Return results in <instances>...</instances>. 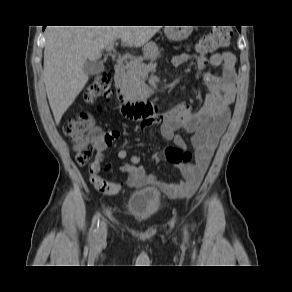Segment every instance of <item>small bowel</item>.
<instances>
[{
    "label": "small bowel",
    "instance_id": "1",
    "mask_svg": "<svg viewBox=\"0 0 292 292\" xmlns=\"http://www.w3.org/2000/svg\"><path fill=\"white\" fill-rule=\"evenodd\" d=\"M188 62H193L197 70H204L208 65L222 67V74L206 73L204 82L209 89L204 103L198 109H194L187 103L179 104L166 112L158 114L150 121L141 122L139 130L153 124L160 125V133L163 139L172 141L176 146L184 148V139L177 134L179 129H184L192 134L191 144L196 153L193 164L177 165L183 179L178 183H167L156 175L147 173L140 166L139 155H129L128 151H118V158L128 159L129 162L120 167L122 173L127 175L126 183L132 188H142L154 185L172 198H189L199 187L203 176L209 166L213 152L226 130L230 120V105L235 100L237 74L236 57L228 51L214 53L210 57L205 55L191 56L186 53L173 57L172 65L178 68ZM119 137L118 131H96L93 139L96 146L95 161L99 164L104 160L105 150ZM110 165H105L104 171L110 170ZM121 185L114 183L112 194L119 192Z\"/></svg>",
    "mask_w": 292,
    "mask_h": 292
}]
</instances>
